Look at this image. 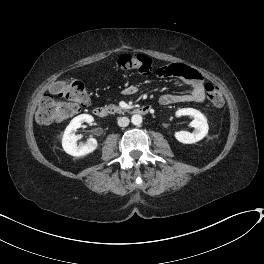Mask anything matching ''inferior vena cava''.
<instances>
[{
	"label": "inferior vena cava",
	"mask_w": 264,
	"mask_h": 264,
	"mask_svg": "<svg viewBox=\"0 0 264 264\" xmlns=\"http://www.w3.org/2000/svg\"><path fill=\"white\" fill-rule=\"evenodd\" d=\"M117 121L120 127H126L129 124V119L127 117H119Z\"/></svg>",
	"instance_id": "602c4592"
}]
</instances>
